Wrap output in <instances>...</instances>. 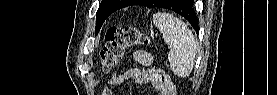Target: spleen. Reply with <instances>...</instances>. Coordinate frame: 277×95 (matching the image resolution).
Wrapping results in <instances>:
<instances>
[{
  "mask_svg": "<svg viewBox=\"0 0 277 95\" xmlns=\"http://www.w3.org/2000/svg\"><path fill=\"white\" fill-rule=\"evenodd\" d=\"M153 22L169 47L170 68L179 77H187L193 70L197 44L187 25L165 12L153 15Z\"/></svg>",
  "mask_w": 277,
  "mask_h": 95,
  "instance_id": "obj_1",
  "label": "spleen"
}]
</instances>
